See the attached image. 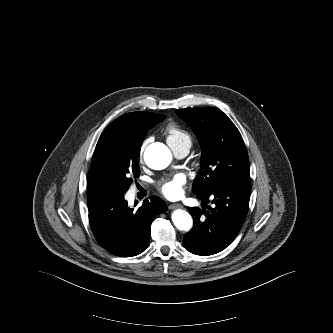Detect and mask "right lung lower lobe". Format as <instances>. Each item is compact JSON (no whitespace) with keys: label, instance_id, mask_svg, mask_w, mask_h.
<instances>
[{"label":"right lung lower lobe","instance_id":"obj_1","mask_svg":"<svg viewBox=\"0 0 333 333\" xmlns=\"http://www.w3.org/2000/svg\"><path fill=\"white\" fill-rule=\"evenodd\" d=\"M166 209V203L157 196L145 199L135 210L128 207L124 193L88 196L89 220L96 240L122 257L138 255L147 248L153 218Z\"/></svg>","mask_w":333,"mask_h":333}]
</instances>
